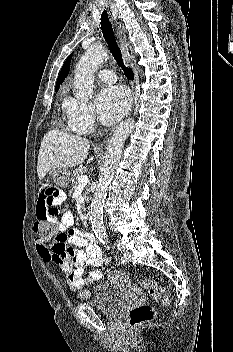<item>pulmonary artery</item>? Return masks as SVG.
I'll return each mask as SVG.
<instances>
[{
    "mask_svg": "<svg viewBox=\"0 0 233 352\" xmlns=\"http://www.w3.org/2000/svg\"><path fill=\"white\" fill-rule=\"evenodd\" d=\"M97 77L104 81V82H108V83H112L116 81V75L114 72L110 71V70H100L97 72Z\"/></svg>",
    "mask_w": 233,
    "mask_h": 352,
    "instance_id": "obj_1",
    "label": "pulmonary artery"
}]
</instances>
